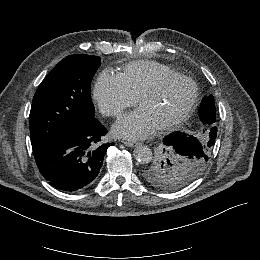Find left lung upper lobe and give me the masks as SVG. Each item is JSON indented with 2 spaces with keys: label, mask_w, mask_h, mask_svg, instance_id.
<instances>
[{
  "label": "left lung upper lobe",
  "mask_w": 260,
  "mask_h": 260,
  "mask_svg": "<svg viewBox=\"0 0 260 260\" xmlns=\"http://www.w3.org/2000/svg\"><path fill=\"white\" fill-rule=\"evenodd\" d=\"M207 98L212 107V120L190 132V135L198 138L203 144L204 152L199 155H184L163 142L155 158L142 169V176L147 183L160 190L177 191L194 182L208 166L213 151L210 134L217 122L214 98L212 95Z\"/></svg>",
  "instance_id": "obj_1"
}]
</instances>
